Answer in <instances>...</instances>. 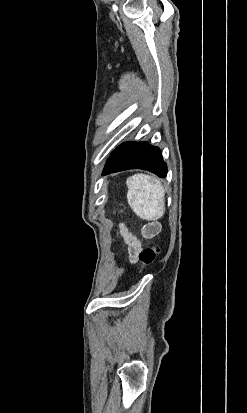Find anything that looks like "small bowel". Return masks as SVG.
<instances>
[{
  "label": "small bowel",
  "mask_w": 247,
  "mask_h": 413,
  "mask_svg": "<svg viewBox=\"0 0 247 413\" xmlns=\"http://www.w3.org/2000/svg\"><path fill=\"white\" fill-rule=\"evenodd\" d=\"M160 232V225L156 222H150L144 225L141 229V234L143 238L150 239ZM120 234L123 237L125 243L129 247V253H132V247L127 242L128 236H133L136 239L135 249H142V243L137 239V237L127 228L125 224H120Z\"/></svg>",
  "instance_id": "1"
}]
</instances>
